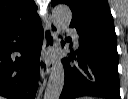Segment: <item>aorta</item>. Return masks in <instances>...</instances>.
Listing matches in <instances>:
<instances>
[{
	"mask_svg": "<svg viewBox=\"0 0 128 99\" xmlns=\"http://www.w3.org/2000/svg\"><path fill=\"white\" fill-rule=\"evenodd\" d=\"M52 15L57 27L61 30L67 28L72 19V12L67 5L59 4L52 10ZM64 86V67L57 60L52 67L48 84L44 93V99H59Z\"/></svg>",
	"mask_w": 128,
	"mask_h": 99,
	"instance_id": "aorta-1",
	"label": "aorta"
}]
</instances>
